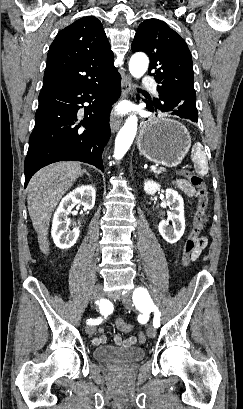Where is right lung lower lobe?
Returning a JSON list of instances; mask_svg holds the SVG:
<instances>
[{"instance_id":"98d812e1","label":"right lung lower lobe","mask_w":243,"mask_h":409,"mask_svg":"<svg viewBox=\"0 0 243 409\" xmlns=\"http://www.w3.org/2000/svg\"><path fill=\"white\" fill-rule=\"evenodd\" d=\"M121 77L116 71L84 85L43 92L35 114L24 163L25 187L40 168L63 160H78L104 171L102 152L110 137V106L119 98ZM87 102L84 119L78 110Z\"/></svg>"}]
</instances>
